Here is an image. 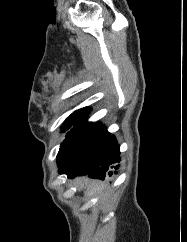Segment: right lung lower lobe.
Masks as SVG:
<instances>
[{
  "mask_svg": "<svg viewBox=\"0 0 187 242\" xmlns=\"http://www.w3.org/2000/svg\"><path fill=\"white\" fill-rule=\"evenodd\" d=\"M118 162L120 150L115 136L98 123L68 133L57 155L59 172L68 177L88 175L103 180L112 176V169L119 168Z\"/></svg>",
  "mask_w": 187,
  "mask_h": 242,
  "instance_id": "98d812e1",
  "label": "right lung lower lobe"
}]
</instances>
